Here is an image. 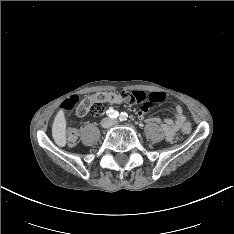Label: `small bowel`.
I'll return each mask as SVG.
<instances>
[{
  "label": "small bowel",
  "mask_w": 234,
  "mask_h": 234,
  "mask_svg": "<svg viewBox=\"0 0 234 234\" xmlns=\"http://www.w3.org/2000/svg\"><path fill=\"white\" fill-rule=\"evenodd\" d=\"M147 107H142L138 113V117L140 119H144L145 113L147 112ZM186 118L183 114V110L181 106L177 105L173 108V118H167L164 120H160L159 118L152 117L147 118L146 122L149 123H159L164 130L166 135V139L168 141L172 140L175 133L180 129L183 128L185 124Z\"/></svg>",
  "instance_id": "small-bowel-1"
}]
</instances>
